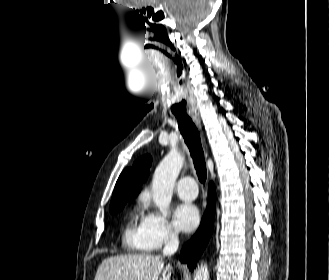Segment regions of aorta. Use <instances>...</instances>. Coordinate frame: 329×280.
I'll return each mask as SVG.
<instances>
[{
  "instance_id": "762f6f07",
  "label": "aorta",
  "mask_w": 329,
  "mask_h": 280,
  "mask_svg": "<svg viewBox=\"0 0 329 280\" xmlns=\"http://www.w3.org/2000/svg\"><path fill=\"white\" fill-rule=\"evenodd\" d=\"M184 158L172 149L161 161L152 180V197L160 212L167 216L176 179L183 167ZM209 270L202 264L194 272V280H208Z\"/></svg>"
}]
</instances>
